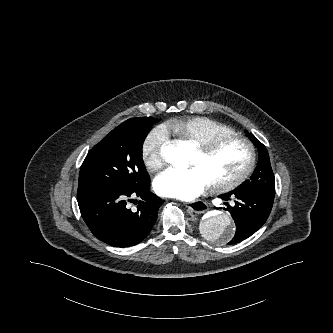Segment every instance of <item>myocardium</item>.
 <instances>
[{
    "instance_id": "1",
    "label": "myocardium",
    "mask_w": 333,
    "mask_h": 333,
    "mask_svg": "<svg viewBox=\"0 0 333 333\" xmlns=\"http://www.w3.org/2000/svg\"><path fill=\"white\" fill-rule=\"evenodd\" d=\"M229 142H239L245 145L248 151V161L244 169L234 177L212 182V186L217 190H230L241 185L249 178L256 165V149L254 144L248 138L237 134H229L214 138L202 144L196 145V148L202 155L209 156L224 144Z\"/></svg>"
}]
</instances>
